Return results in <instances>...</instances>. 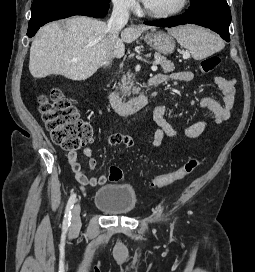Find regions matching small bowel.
Returning <instances> with one entry per match:
<instances>
[{"label": "small bowel", "instance_id": "1", "mask_svg": "<svg viewBox=\"0 0 255 272\" xmlns=\"http://www.w3.org/2000/svg\"><path fill=\"white\" fill-rule=\"evenodd\" d=\"M154 78L158 81L159 84L167 81L189 82L194 78V74L191 71H178L169 74L158 73L154 76ZM215 83L222 93L223 102L220 103L211 97H205L201 100V106L212 113L214 122L216 124H220L229 119L231 111L234 107L235 80L217 76L215 77ZM166 113L167 107L164 105H159L153 110L152 118L158 126L152 138V145L154 147L161 146L165 137L173 138L177 134V131L174 129V127L167 121ZM209 123V119L199 120L187 127L184 131V134L188 138H197L204 133ZM107 143L109 147L122 145L125 148H131L133 146L132 138L120 133H114L110 135L108 137ZM82 153L84 156L89 158V168L93 170L96 167V160L92 157V148L86 146L83 148ZM67 158L72 171L75 174V178L80 185L95 187L107 183L108 177L106 175L88 178L83 173L76 151H68Z\"/></svg>", "mask_w": 255, "mask_h": 272}]
</instances>
